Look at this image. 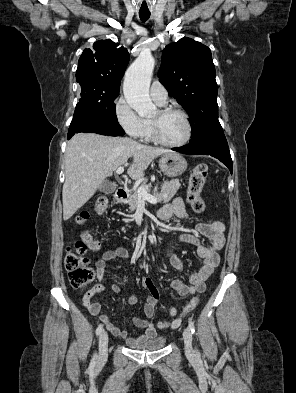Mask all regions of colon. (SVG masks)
<instances>
[{"label":"colon","instance_id":"5ec220e1","mask_svg":"<svg viewBox=\"0 0 296 393\" xmlns=\"http://www.w3.org/2000/svg\"><path fill=\"white\" fill-rule=\"evenodd\" d=\"M208 173V166L205 163H200L195 166L189 178L187 198L192 210L196 213H203L206 209V204L201 196V191L204 186ZM108 198L100 196L96 199L93 210L98 214H103L108 208ZM89 212L83 211L76 217L77 223L81 224L87 220ZM90 249L97 251L100 249V244L93 239V237L85 232L82 234L81 240L77 241L73 248L67 253L65 259V266L68 271L69 282L73 288L82 289L94 277L93 270L88 267V260L84 256L85 252ZM199 302V297L192 298L183 308L181 317L189 314Z\"/></svg>","mask_w":296,"mask_h":393}]
</instances>
